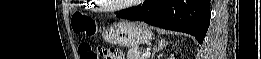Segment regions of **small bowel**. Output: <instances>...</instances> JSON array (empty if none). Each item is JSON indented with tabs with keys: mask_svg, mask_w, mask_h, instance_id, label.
I'll use <instances>...</instances> for the list:
<instances>
[{
	"mask_svg": "<svg viewBox=\"0 0 261 59\" xmlns=\"http://www.w3.org/2000/svg\"><path fill=\"white\" fill-rule=\"evenodd\" d=\"M111 52L116 54L115 59H123V56L119 51L112 50Z\"/></svg>",
	"mask_w": 261,
	"mask_h": 59,
	"instance_id": "c3829d8e",
	"label": "small bowel"
}]
</instances>
